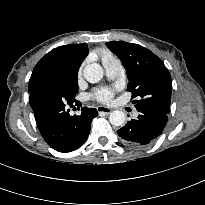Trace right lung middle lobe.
I'll use <instances>...</instances> for the list:
<instances>
[{
	"label": "right lung middle lobe",
	"instance_id": "dd1d6c3e",
	"mask_svg": "<svg viewBox=\"0 0 205 205\" xmlns=\"http://www.w3.org/2000/svg\"><path fill=\"white\" fill-rule=\"evenodd\" d=\"M77 75L78 73H73L67 77L66 81L69 83L70 87L75 91L78 92V82H77Z\"/></svg>",
	"mask_w": 205,
	"mask_h": 205
}]
</instances>
